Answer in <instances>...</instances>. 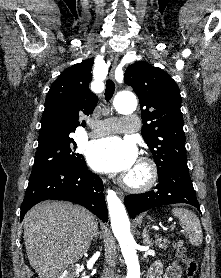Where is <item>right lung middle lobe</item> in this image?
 <instances>
[{
    "label": "right lung middle lobe",
    "instance_id": "right-lung-middle-lobe-1",
    "mask_svg": "<svg viewBox=\"0 0 221 278\" xmlns=\"http://www.w3.org/2000/svg\"><path fill=\"white\" fill-rule=\"evenodd\" d=\"M75 149L76 143L69 136L39 141L30 179L54 168L83 164V155L75 153Z\"/></svg>",
    "mask_w": 221,
    "mask_h": 278
}]
</instances>
